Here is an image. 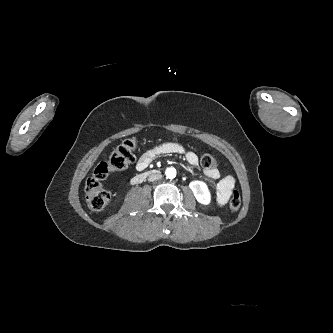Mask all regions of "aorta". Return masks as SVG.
Returning <instances> with one entry per match:
<instances>
[{
	"label": "aorta",
	"mask_w": 333,
	"mask_h": 333,
	"mask_svg": "<svg viewBox=\"0 0 333 333\" xmlns=\"http://www.w3.org/2000/svg\"><path fill=\"white\" fill-rule=\"evenodd\" d=\"M165 174L167 178L173 179L176 177V170L175 168H167Z\"/></svg>",
	"instance_id": "aorta-1"
}]
</instances>
